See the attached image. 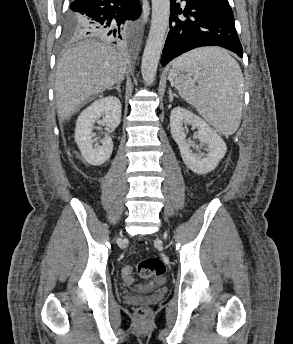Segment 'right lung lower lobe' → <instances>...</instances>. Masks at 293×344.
<instances>
[{"label":"right lung lower lobe","mask_w":293,"mask_h":344,"mask_svg":"<svg viewBox=\"0 0 293 344\" xmlns=\"http://www.w3.org/2000/svg\"><path fill=\"white\" fill-rule=\"evenodd\" d=\"M70 11L85 17L81 37L97 36L121 42L128 38V27L141 14L137 0H74Z\"/></svg>","instance_id":"right-lung-lower-lobe-1"}]
</instances>
